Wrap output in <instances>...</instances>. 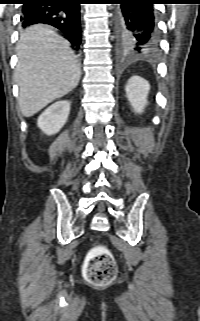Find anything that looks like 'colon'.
<instances>
[{
	"mask_svg": "<svg viewBox=\"0 0 200 321\" xmlns=\"http://www.w3.org/2000/svg\"><path fill=\"white\" fill-rule=\"evenodd\" d=\"M116 275V265L110 251L104 246L93 248L85 265V277L93 284H107Z\"/></svg>",
	"mask_w": 200,
	"mask_h": 321,
	"instance_id": "obj_1",
	"label": "colon"
}]
</instances>
